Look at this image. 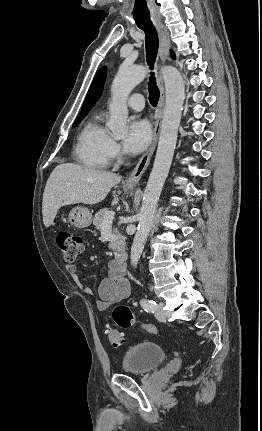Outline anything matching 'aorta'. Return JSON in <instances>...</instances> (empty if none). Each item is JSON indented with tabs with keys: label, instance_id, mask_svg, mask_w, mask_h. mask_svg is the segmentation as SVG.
<instances>
[{
	"label": "aorta",
	"instance_id": "1",
	"mask_svg": "<svg viewBox=\"0 0 262 431\" xmlns=\"http://www.w3.org/2000/svg\"><path fill=\"white\" fill-rule=\"evenodd\" d=\"M161 72L166 92L165 108L157 153L144 190L137 232L131 247L130 260L133 267L137 266L144 250L159 197L171 167L185 99V84L181 73L172 66L163 67ZM147 73L148 69L144 66L124 65L115 76L111 87L110 119L107 126L117 138L124 137L127 132V98L132 89L145 79Z\"/></svg>",
	"mask_w": 262,
	"mask_h": 431
}]
</instances>
